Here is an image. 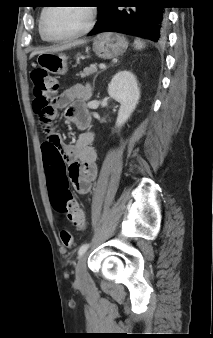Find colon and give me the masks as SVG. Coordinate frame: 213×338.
Instances as JSON below:
<instances>
[{"instance_id":"1","label":"colon","mask_w":213,"mask_h":338,"mask_svg":"<svg viewBox=\"0 0 213 338\" xmlns=\"http://www.w3.org/2000/svg\"><path fill=\"white\" fill-rule=\"evenodd\" d=\"M31 80L33 83L34 111L41 123L44 124L45 141L43 147L45 150H49L52 146H58L62 143L61 137L58 134H51L48 128L54 114L52 97L58 91V83L43 69L33 70ZM50 200L55 211L66 214L78 228H83L86 225L83 210L72 193L67 190L65 184L58 183L55 185L50 192ZM59 236L64 246L69 248L73 246L74 238L69 230L62 229Z\"/></svg>"}]
</instances>
